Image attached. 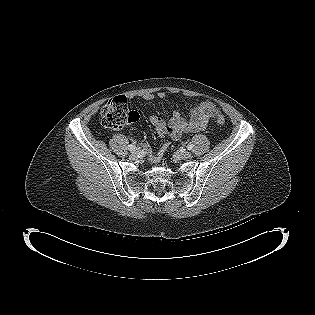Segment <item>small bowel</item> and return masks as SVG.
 <instances>
[{
    "label": "small bowel",
    "mask_w": 315,
    "mask_h": 315,
    "mask_svg": "<svg viewBox=\"0 0 315 315\" xmlns=\"http://www.w3.org/2000/svg\"><path fill=\"white\" fill-rule=\"evenodd\" d=\"M142 98L148 102L153 101L156 98L165 99L166 93H146ZM215 112L216 109L214 104L209 101H204L192 107L190 117L187 120L184 119L179 112H174L169 121L164 120L158 115H151L149 120L160 137L179 139L183 134L197 132L206 128L214 118ZM165 149L166 146H163L150 157V161L152 163H157Z\"/></svg>",
    "instance_id": "c3829d8e"
}]
</instances>
